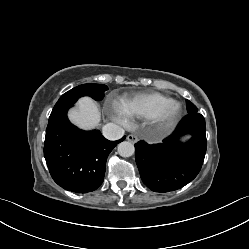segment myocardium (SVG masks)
Wrapping results in <instances>:
<instances>
[{"label":"myocardium","instance_id":"1","mask_svg":"<svg viewBox=\"0 0 249 249\" xmlns=\"http://www.w3.org/2000/svg\"><path fill=\"white\" fill-rule=\"evenodd\" d=\"M181 111V104L172 100L158 109L151 119L161 130L167 131L176 124Z\"/></svg>","mask_w":249,"mask_h":249}]
</instances>
